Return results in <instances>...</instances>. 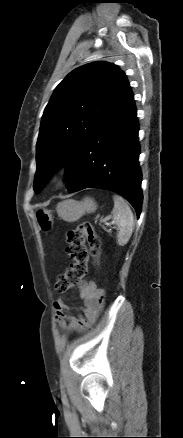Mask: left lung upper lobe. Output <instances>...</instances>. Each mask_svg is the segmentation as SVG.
<instances>
[{
	"label": "left lung upper lobe",
	"instance_id": "1",
	"mask_svg": "<svg viewBox=\"0 0 183 438\" xmlns=\"http://www.w3.org/2000/svg\"><path fill=\"white\" fill-rule=\"evenodd\" d=\"M132 93L116 65L93 62L73 70L56 87L36 144L38 191L51 172L65 166L82 144Z\"/></svg>",
	"mask_w": 183,
	"mask_h": 438
}]
</instances>
